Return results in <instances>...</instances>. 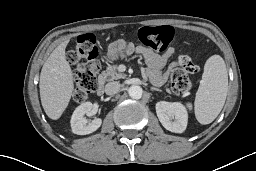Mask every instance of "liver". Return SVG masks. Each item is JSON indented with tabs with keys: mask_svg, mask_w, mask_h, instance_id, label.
<instances>
[{
	"mask_svg": "<svg viewBox=\"0 0 256 171\" xmlns=\"http://www.w3.org/2000/svg\"><path fill=\"white\" fill-rule=\"evenodd\" d=\"M67 44L68 41H64L53 50L40 74L39 87L42 107L52 120L61 117L74 90L72 70L65 56Z\"/></svg>",
	"mask_w": 256,
	"mask_h": 171,
	"instance_id": "6515ba94",
	"label": "liver"
}]
</instances>
